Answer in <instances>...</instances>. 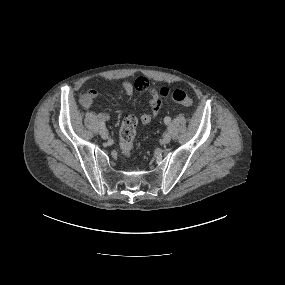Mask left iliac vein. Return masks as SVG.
Returning a JSON list of instances; mask_svg holds the SVG:
<instances>
[{
  "label": "left iliac vein",
  "instance_id": "obj_1",
  "mask_svg": "<svg viewBox=\"0 0 285 285\" xmlns=\"http://www.w3.org/2000/svg\"><path fill=\"white\" fill-rule=\"evenodd\" d=\"M171 141V135L169 133H166L163 135V138H162V142L164 144H167Z\"/></svg>",
  "mask_w": 285,
  "mask_h": 285
}]
</instances>
